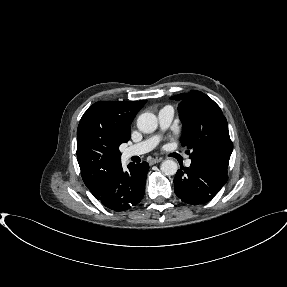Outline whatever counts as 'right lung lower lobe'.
Returning <instances> with one entry per match:
<instances>
[{"mask_svg": "<svg viewBox=\"0 0 287 287\" xmlns=\"http://www.w3.org/2000/svg\"><path fill=\"white\" fill-rule=\"evenodd\" d=\"M148 170L147 162L130 163L127 171L121 165L110 171L92 194L112 211L128 210L142 200Z\"/></svg>", "mask_w": 287, "mask_h": 287, "instance_id": "98d812e1", "label": "right lung lower lobe"}]
</instances>
